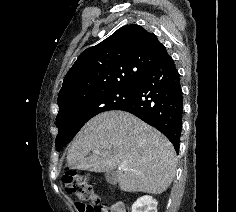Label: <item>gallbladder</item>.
<instances>
[{"label":"gallbladder","mask_w":236,"mask_h":212,"mask_svg":"<svg viewBox=\"0 0 236 212\" xmlns=\"http://www.w3.org/2000/svg\"><path fill=\"white\" fill-rule=\"evenodd\" d=\"M105 178H106L107 182L112 185H115L117 183V176L114 171L107 172L105 174Z\"/></svg>","instance_id":"gallbladder-1"}]
</instances>
